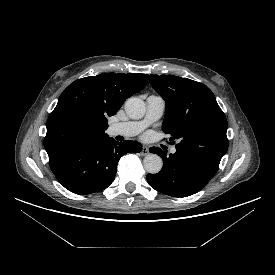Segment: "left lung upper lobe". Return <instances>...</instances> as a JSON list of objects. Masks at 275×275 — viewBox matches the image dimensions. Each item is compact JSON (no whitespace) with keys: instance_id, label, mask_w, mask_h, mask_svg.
<instances>
[{"instance_id":"5c2ea615","label":"left lung upper lobe","mask_w":275,"mask_h":275,"mask_svg":"<svg viewBox=\"0 0 275 275\" xmlns=\"http://www.w3.org/2000/svg\"><path fill=\"white\" fill-rule=\"evenodd\" d=\"M150 84L166 101L162 129L179 139L176 150L219 166L228 150L227 120L204 84L173 75H150Z\"/></svg>"}]
</instances>
